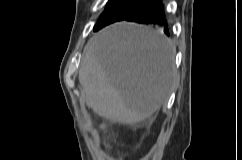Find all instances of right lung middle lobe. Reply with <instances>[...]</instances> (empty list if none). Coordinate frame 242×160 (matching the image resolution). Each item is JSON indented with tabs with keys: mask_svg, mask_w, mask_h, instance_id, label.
Returning a JSON list of instances; mask_svg holds the SVG:
<instances>
[{
	"mask_svg": "<svg viewBox=\"0 0 242 160\" xmlns=\"http://www.w3.org/2000/svg\"><path fill=\"white\" fill-rule=\"evenodd\" d=\"M147 1L148 0H109L105 11L101 14L93 31H97L108 24L124 19L128 14Z\"/></svg>",
	"mask_w": 242,
	"mask_h": 160,
	"instance_id": "dd1d6c3e",
	"label": "right lung middle lobe"
}]
</instances>
